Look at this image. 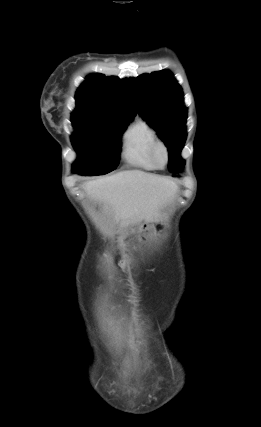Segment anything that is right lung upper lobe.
<instances>
[{
	"label": "right lung upper lobe",
	"mask_w": 261,
	"mask_h": 427,
	"mask_svg": "<svg viewBox=\"0 0 261 427\" xmlns=\"http://www.w3.org/2000/svg\"><path fill=\"white\" fill-rule=\"evenodd\" d=\"M72 116H92L131 121L137 110L128 79L91 74L76 92Z\"/></svg>",
	"instance_id": "1"
}]
</instances>
